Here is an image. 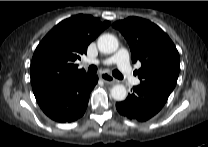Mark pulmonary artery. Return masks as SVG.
Returning <instances> with one entry per match:
<instances>
[{
  "label": "pulmonary artery",
  "instance_id": "1",
  "mask_svg": "<svg viewBox=\"0 0 208 147\" xmlns=\"http://www.w3.org/2000/svg\"><path fill=\"white\" fill-rule=\"evenodd\" d=\"M91 64H103V65H112L116 64L119 70L122 72L124 77L129 81L132 85H138L140 80L133 75L130 63H129V53L125 48H121L118 50L116 54L113 56L104 59L102 61L93 60L89 61Z\"/></svg>",
  "mask_w": 208,
  "mask_h": 147
}]
</instances>
